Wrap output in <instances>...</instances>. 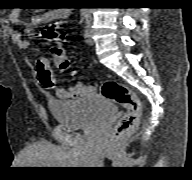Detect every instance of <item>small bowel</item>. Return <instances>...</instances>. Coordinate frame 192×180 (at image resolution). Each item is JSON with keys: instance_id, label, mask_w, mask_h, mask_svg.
Segmentation results:
<instances>
[{"instance_id": "small-bowel-1", "label": "small bowel", "mask_w": 192, "mask_h": 180, "mask_svg": "<svg viewBox=\"0 0 192 180\" xmlns=\"http://www.w3.org/2000/svg\"><path fill=\"white\" fill-rule=\"evenodd\" d=\"M69 10L66 8L52 9L37 17V22H58L67 18ZM10 21L15 24H21V14L19 10H14L10 15ZM13 41L20 47L28 46V42L24 39L22 33L12 31ZM37 73L41 84L47 88L53 89L55 95L59 99H75L79 96L85 95L92 91L91 88L86 87L81 82L77 83L74 87L65 89L56 85V80L47 60L41 59L37 62Z\"/></svg>"}]
</instances>
